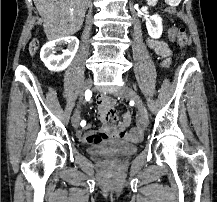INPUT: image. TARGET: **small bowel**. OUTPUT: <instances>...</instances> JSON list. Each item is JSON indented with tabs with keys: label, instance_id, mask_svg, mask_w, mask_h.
<instances>
[{
	"label": "small bowel",
	"instance_id": "c3829d8e",
	"mask_svg": "<svg viewBox=\"0 0 217 202\" xmlns=\"http://www.w3.org/2000/svg\"><path fill=\"white\" fill-rule=\"evenodd\" d=\"M149 47L160 57L163 58L162 66L168 67L171 62V52L168 46L155 39H148ZM103 97V96H100ZM96 109H100L98 121H103L105 124L101 131H94L91 125L87 126V132L78 131L77 137L81 142L98 144L107 138L126 140L130 142H137L142 137V131H130L129 126L132 122V111L127 110L122 115V120L116 124L117 116L114 113L117 112L116 101H95Z\"/></svg>",
	"mask_w": 217,
	"mask_h": 202
}]
</instances>
